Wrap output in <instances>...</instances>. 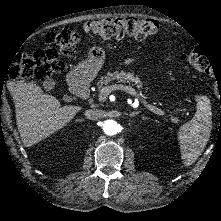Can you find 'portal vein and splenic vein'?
I'll use <instances>...</instances> for the list:
<instances>
[{
	"mask_svg": "<svg viewBox=\"0 0 221 221\" xmlns=\"http://www.w3.org/2000/svg\"><path fill=\"white\" fill-rule=\"evenodd\" d=\"M106 89V90H105ZM104 90H102V94L98 97V102H103L105 97L109 95L110 92L114 90L122 91L123 93H127L133 96L137 102H141V105L148 111L152 112L154 115L163 116L164 110L157 107L155 104L150 103L147 99H143L141 94H139L135 89L130 87L128 84H119V85H108Z\"/></svg>",
	"mask_w": 221,
	"mask_h": 221,
	"instance_id": "18ae733b",
	"label": "portal vein and splenic vein"
}]
</instances>
